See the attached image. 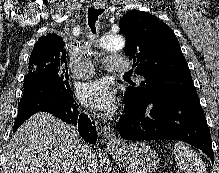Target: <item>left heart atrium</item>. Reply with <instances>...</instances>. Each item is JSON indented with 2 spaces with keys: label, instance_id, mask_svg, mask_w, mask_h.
I'll use <instances>...</instances> for the list:
<instances>
[{
  "label": "left heart atrium",
  "instance_id": "1",
  "mask_svg": "<svg viewBox=\"0 0 219 173\" xmlns=\"http://www.w3.org/2000/svg\"><path fill=\"white\" fill-rule=\"evenodd\" d=\"M77 96L83 105L91 109L111 113L116 107V94L103 79L80 83Z\"/></svg>",
  "mask_w": 219,
  "mask_h": 173
}]
</instances>
